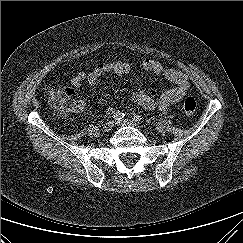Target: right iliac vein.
<instances>
[{
  "label": "right iliac vein",
  "mask_w": 243,
  "mask_h": 243,
  "mask_svg": "<svg viewBox=\"0 0 243 243\" xmlns=\"http://www.w3.org/2000/svg\"><path fill=\"white\" fill-rule=\"evenodd\" d=\"M113 126H114L113 121L107 122L103 127V132H109L113 128Z\"/></svg>",
  "instance_id": "obj_1"
}]
</instances>
